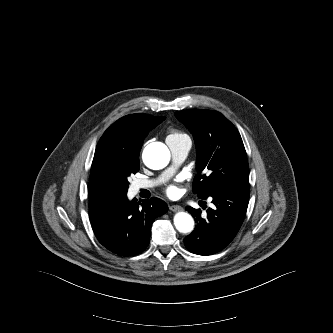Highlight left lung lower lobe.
I'll return each instance as SVG.
<instances>
[{"mask_svg":"<svg viewBox=\"0 0 333 333\" xmlns=\"http://www.w3.org/2000/svg\"><path fill=\"white\" fill-rule=\"evenodd\" d=\"M215 207L207 209V217L201 210L190 206L186 210L195 217V230L185 237L187 249L199 255H211L224 249L240 229L249 202V185H238L219 189L209 196Z\"/></svg>","mask_w":333,"mask_h":333,"instance_id":"0a47b994","label":"left lung lower lobe"}]
</instances>
